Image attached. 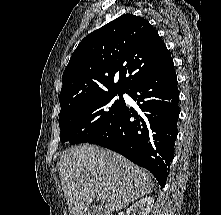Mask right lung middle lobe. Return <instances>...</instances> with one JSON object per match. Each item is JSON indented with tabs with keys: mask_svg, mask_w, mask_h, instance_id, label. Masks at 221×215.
I'll list each match as a JSON object with an SVG mask.
<instances>
[{
	"mask_svg": "<svg viewBox=\"0 0 221 215\" xmlns=\"http://www.w3.org/2000/svg\"><path fill=\"white\" fill-rule=\"evenodd\" d=\"M118 95L117 100L113 98ZM125 101L123 93H105L61 108L60 140L70 144L86 143L107 132L120 117Z\"/></svg>",
	"mask_w": 221,
	"mask_h": 215,
	"instance_id": "dd1d6c3e",
	"label": "right lung middle lobe"
}]
</instances>
